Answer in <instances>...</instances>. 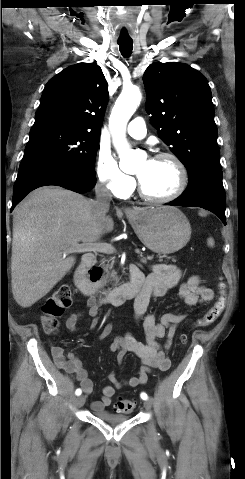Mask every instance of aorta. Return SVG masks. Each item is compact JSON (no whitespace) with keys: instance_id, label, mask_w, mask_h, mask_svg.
<instances>
[{"instance_id":"obj_1","label":"aorta","mask_w":245,"mask_h":479,"mask_svg":"<svg viewBox=\"0 0 245 479\" xmlns=\"http://www.w3.org/2000/svg\"><path fill=\"white\" fill-rule=\"evenodd\" d=\"M141 98V92L137 87H124L115 102L109 121L113 144L120 158L119 166L123 172L128 174L137 172L139 160L127 143L125 131L129 119L141 102Z\"/></svg>"}]
</instances>
